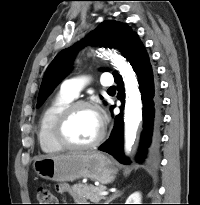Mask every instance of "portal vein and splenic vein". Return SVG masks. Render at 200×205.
<instances>
[{"label": "portal vein and splenic vein", "mask_w": 200, "mask_h": 205, "mask_svg": "<svg viewBox=\"0 0 200 205\" xmlns=\"http://www.w3.org/2000/svg\"><path fill=\"white\" fill-rule=\"evenodd\" d=\"M100 195H102V196H107V195H108V191H105V190H104V191H101V192H100Z\"/></svg>", "instance_id": "portal-vein-and-splenic-vein-1"}]
</instances>
